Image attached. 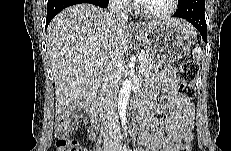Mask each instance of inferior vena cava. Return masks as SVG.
<instances>
[{
    "instance_id": "obj_1",
    "label": "inferior vena cava",
    "mask_w": 231,
    "mask_h": 151,
    "mask_svg": "<svg viewBox=\"0 0 231 151\" xmlns=\"http://www.w3.org/2000/svg\"><path fill=\"white\" fill-rule=\"evenodd\" d=\"M108 15L117 21H127L128 13L124 8L123 0H110ZM117 66L108 68L104 77L102 94V124L104 127V144H117L119 142L120 128L117 115V90L118 75Z\"/></svg>"
}]
</instances>
